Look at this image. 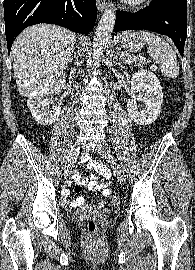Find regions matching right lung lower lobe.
<instances>
[{"instance_id": "1", "label": "right lung lower lobe", "mask_w": 195, "mask_h": 270, "mask_svg": "<svg viewBox=\"0 0 195 270\" xmlns=\"http://www.w3.org/2000/svg\"><path fill=\"white\" fill-rule=\"evenodd\" d=\"M5 33L10 52L28 26L51 23L87 35L97 18L95 0H4Z\"/></svg>"}]
</instances>
